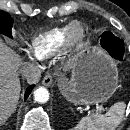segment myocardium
I'll use <instances>...</instances> for the list:
<instances>
[{"instance_id": "f54148a6", "label": "myocardium", "mask_w": 130, "mask_h": 130, "mask_svg": "<svg viewBox=\"0 0 130 130\" xmlns=\"http://www.w3.org/2000/svg\"><path fill=\"white\" fill-rule=\"evenodd\" d=\"M85 29L80 22H73L68 28L67 46L78 47L85 38Z\"/></svg>"}]
</instances>
